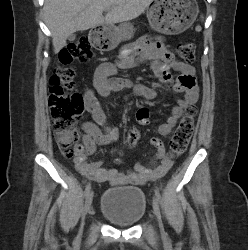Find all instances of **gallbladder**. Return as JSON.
Segmentation results:
<instances>
[{"label":"gallbladder","instance_id":"gallbladder-1","mask_svg":"<svg viewBox=\"0 0 248 250\" xmlns=\"http://www.w3.org/2000/svg\"><path fill=\"white\" fill-rule=\"evenodd\" d=\"M75 38H76L75 34H71V35L68 36L69 41H73V40H75Z\"/></svg>","mask_w":248,"mask_h":250}]
</instances>
